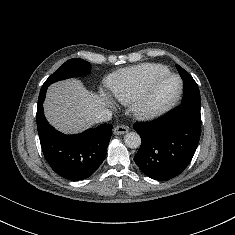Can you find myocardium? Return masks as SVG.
I'll return each instance as SVG.
<instances>
[{
    "mask_svg": "<svg viewBox=\"0 0 235 235\" xmlns=\"http://www.w3.org/2000/svg\"><path fill=\"white\" fill-rule=\"evenodd\" d=\"M173 78L178 81V90L174 97L160 106H151L149 99L154 86L161 80ZM183 92V81L177 74L166 72L152 77L144 87L139 96L132 102V111L140 119H153L159 117L169 110L179 101Z\"/></svg>",
    "mask_w": 235,
    "mask_h": 235,
    "instance_id": "f54148a6",
    "label": "myocardium"
}]
</instances>
